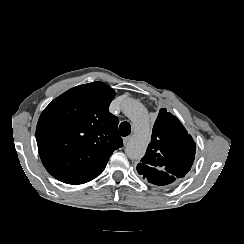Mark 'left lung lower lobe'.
I'll use <instances>...</instances> for the list:
<instances>
[{"mask_svg": "<svg viewBox=\"0 0 244 244\" xmlns=\"http://www.w3.org/2000/svg\"><path fill=\"white\" fill-rule=\"evenodd\" d=\"M176 181V179H174L173 181H172V183L173 182H175ZM149 182V181H148ZM151 183V182H150ZM153 184V183H152ZM154 185H159V184H154ZM159 186H163V185H159Z\"/></svg>", "mask_w": 244, "mask_h": 244, "instance_id": "left-lung-lower-lobe-1", "label": "left lung lower lobe"}]
</instances>
